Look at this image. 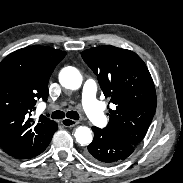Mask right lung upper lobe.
I'll list each match as a JSON object with an SVG mask.
<instances>
[{
  "instance_id": "obj_1",
  "label": "right lung upper lobe",
  "mask_w": 183,
  "mask_h": 183,
  "mask_svg": "<svg viewBox=\"0 0 183 183\" xmlns=\"http://www.w3.org/2000/svg\"><path fill=\"white\" fill-rule=\"evenodd\" d=\"M66 52L31 46L0 62V147L16 159L39 154L57 124L41 115L32 119L37 99L47 100L48 82Z\"/></svg>"
}]
</instances>
